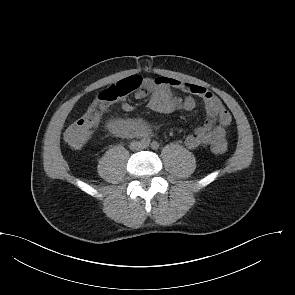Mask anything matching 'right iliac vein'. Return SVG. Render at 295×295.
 Masks as SVG:
<instances>
[{
	"label": "right iliac vein",
	"mask_w": 295,
	"mask_h": 295,
	"mask_svg": "<svg viewBox=\"0 0 295 295\" xmlns=\"http://www.w3.org/2000/svg\"><path fill=\"white\" fill-rule=\"evenodd\" d=\"M133 147H134V148L138 147V144H135Z\"/></svg>",
	"instance_id": "obj_1"
}]
</instances>
